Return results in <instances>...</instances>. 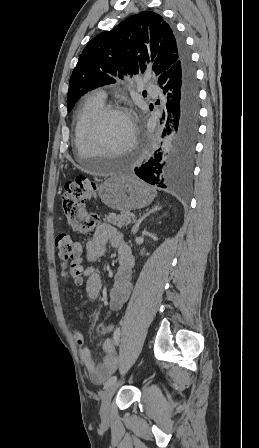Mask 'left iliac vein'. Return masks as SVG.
Masks as SVG:
<instances>
[{"label":"left iliac vein","mask_w":259,"mask_h":448,"mask_svg":"<svg viewBox=\"0 0 259 448\" xmlns=\"http://www.w3.org/2000/svg\"><path fill=\"white\" fill-rule=\"evenodd\" d=\"M118 384L115 382L110 386L106 387V389L102 393V403L100 408V415L102 420L107 421L109 419L110 413V403L111 399L116 392Z\"/></svg>","instance_id":"4c4485c4"}]
</instances>
